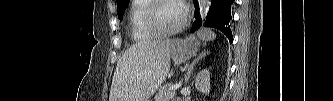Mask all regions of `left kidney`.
Returning a JSON list of instances; mask_svg holds the SVG:
<instances>
[{
  "label": "left kidney",
  "mask_w": 333,
  "mask_h": 101,
  "mask_svg": "<svg viewBox=\"0 0 333 101\" xmlns=\"http://www.w3.org/2000/svg\"><path fill=\"white\" fill-rule=\"evenodd\" d=\"M195 87L197 90L204 94H209L210 92V71L209 69H204L200 71L195 80Z\"/></svg>",
  "instance_id": "5707ae66"
}]
</instances>
